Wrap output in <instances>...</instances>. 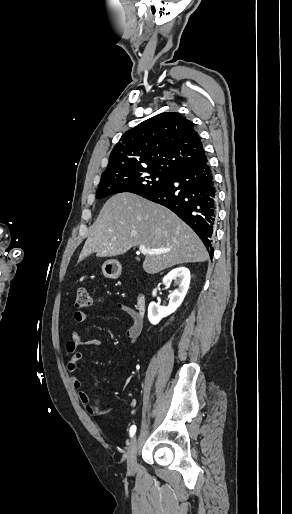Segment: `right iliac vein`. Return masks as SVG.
<instances>
[{
  "instance_id": "63e3f726",
  "label": "right iliac vein",
  "mask_w": 292,
  "mask_h": 514,
  "mask_svg": "<svg viewBox=\"0 0 292 514\" xmlns=\"http://www.w3.org/2000/svg\"><path fill=\"white\" fill-rule=\"evenodd\" d=\"M137 450H138V439L135 436L127 450V471L129 474H133L137 466Z\"/></svg>"
}]
</instances>
